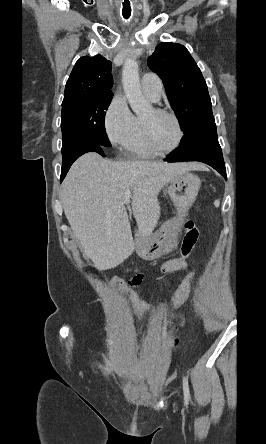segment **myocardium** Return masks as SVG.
Here are the masks:
<instances>
[{
    "mask_svg": "<svg viewBox=\"0 0 266 444\" xmlns=\"http://www.w3.org/2000/svg\"><path fill=\"white\" fill-rule=\"evenodd\" d=\"M152 110L156 114L167 115V116H170L174 120V122L177 126V130H178V138H177L175 145L172 148H170L168 150H163V149L159 148L155 144V142L151 136L150 127H149L148 123L142 119V121H141L142 132H143L145 142H146L147 146L158 155H167V154L173 153L181 146L183 139H184V130H183L181 121H180L179 117L174 112H172L168 109L155 107Z\"/></svg>",
    "mask_w": 266,
    "mask_h": 444,
    "instance_id": "f54148a6",
    "label": "myocardium"
}]
</instances>
